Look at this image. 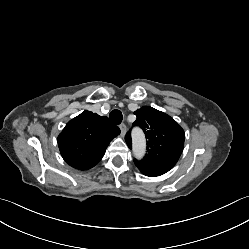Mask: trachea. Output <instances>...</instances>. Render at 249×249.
Masks as SVG:
<instances>
[{
  "label": "trachea",
  "instance_id": "obj_1",
  "mask_svg": "<svg viewBox=\"0 0 249 249\" xmlns=\"http://www.w3.org/2000/svg\"><path fill=\"white\" fill-rule=\"evenodd\" d=\"M123 115L120 110L114 109L110 113V120L116 124L119 125L122 122Z\"/></svg>",
  "mask_w": 249,
  "mask_h": 249
}]
</instances>
